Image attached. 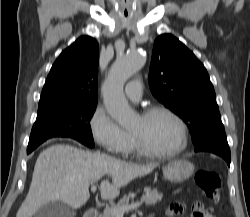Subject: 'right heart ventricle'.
I'll use <instances>...</instances> for the list:
<instances>
[{"mask_svg":"<svg viewBox=\"0 0 250 217\" xmlns=\"http://www.w3.org/2000/svg\"><path fill=\"white\" fill-rule=\"evenodd\" d=\"M129 137H130V144H129V148H128L127 153H133L136 151V147H135L134 141L132 139V136L130 134H129Z\"/></svg>","mask_w":250,"mask_h":217,"instance_id":"obj_1","label":"right heart ventricle"}]
</instances>
